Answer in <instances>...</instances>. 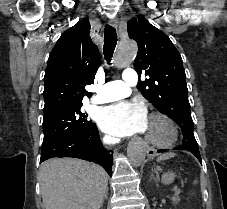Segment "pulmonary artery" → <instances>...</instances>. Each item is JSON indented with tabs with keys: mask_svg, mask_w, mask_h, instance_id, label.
<instances>
[{
	"mask_svg": "<svg viewBox=\"0 0 227 209\" xmlns=\"http://www.w3.org/2000/svg\"><path fill=\"white\" fill-rule=\"evenodd\" d=\"M123 78V80L117 81V83L120 84H113V82H101L98 83V86L101 87H92V92L104 93L91 98V102L94 104H103L128 96L131 92L130 88L133 83H137L136 73H134L133 70H124Z\"/></svg>",
	"mask_w": 227,
	"mask_h": 209,
	"instance_id": "e3ab8cb5",
	"label": "pulmonary artery"
}]
</instances>
